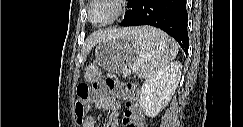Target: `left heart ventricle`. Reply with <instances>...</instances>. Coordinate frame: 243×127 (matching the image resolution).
<instances>
[{
	"label": "left heart ventricle",
	"mask_w": 243,
	"mask_h": 127,
	"mask_svg": "<svg viewBox=\"0 0 243 127\" xmlns=\"http://www.w3.org/2000/svg\"><path fill=\"white\" fill-rule=\"evenodd\" d=\"M113 14L112 7L104 4V3H97L91 9V19L94 22H102L109 18Z\"/></svg>",
	"instance_id": "left-heart-ventricle-1"
}]
</instances>
